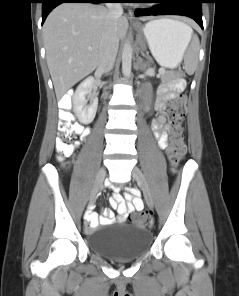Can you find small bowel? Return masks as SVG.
Wrapping results in <instances>:
<instances>
[{"label":"small bowel","mask_w":239,"mask_h":296,"mask_svg":"<svg viewBox=\"0 0 239 296\" xmlns=\"http://www.w3.org/2000/svg\"><path fill=\"white\" fill-rule=\"evenodd\" d=\"M183 88L184 82L180 80L173 84H163L158 89L155 102V109L158 115L151 122V130L161 149H165L168 145L170 126L167 123L165 115L167 104L175 100ZM88 134V128L82 130L81 135L83 138ZM110 206L117 211L120 219L125 221L133 212L143 209L144 203L140 197V192L135 188H131L124 193V199L119 192H114L110 199ZM113 220L114 214L111 211H105L100 217L94 212L90 213L88 215V221L90 223L88 231L92 232L97 226L109 224Z\"/></svg>","instance_id":"obj_1"}]
</instances>
